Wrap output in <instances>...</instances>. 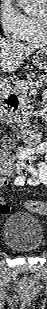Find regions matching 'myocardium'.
Instances as JSON below:
<instances>
[{
    "instance_id": "1",
    "label": "myocardium",
    "mask_w": 47,
    "mask_h": 309,
    "mask_svg": "<svg viewBox=\"0 0 47 309\" xmlns=\"http://www.w3.org/2000/svg\"><path fill=\"white\" fill-rule=\"evenodd\" d=\"M38 20L39 23L42 27V32L44 34V36L46 37V33H47V14L46 13H42L40 16H38Z\"/></svg>"
}]
</instances>
